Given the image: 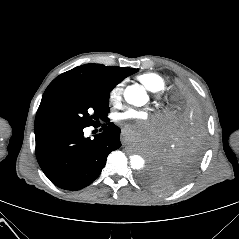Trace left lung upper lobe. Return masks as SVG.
<instances>
[{"instance_id": "5c2ea615", "label": "left lung upper lobe", "mask_w": 239, "mask_h": 239, "mask_svg": "<svg viewBox=\"0 0 239 239\" xmlns=\"http://www.w3.org/2000/svg\"><path fill=\"white\" fill-rule=\"evenodd\" d=\"M191 99L199 101L196 91L187 82L177 80L172 95L173 106L169 116L170 127L178 126V110L182 103ZM141 180L146 186L158 192H167L175 188L171 179H169L164 172L158 171L153 167L149 168L141 177Z\"/></svg>"}]
</instances>
